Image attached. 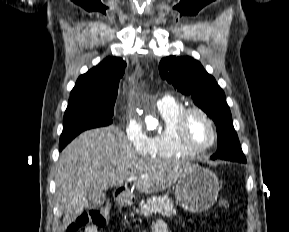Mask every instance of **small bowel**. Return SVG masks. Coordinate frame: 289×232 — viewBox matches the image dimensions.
Segmentation results:
<instances>
[{"label":"small bowel","instance_id":"obj_1","mask_svg":"<svg viewBox=\"0 0 289 232\" xmlns=\"http://www.w3.org/2000/svg\"><path fill=\"white\" fill-rule=\"evenodd\" d=\"M152 232H171L168 225L163 221H155L151 225ZM84 232H100L99 228L97 226H87L84 229Z\"/></svg>","mask_w":289,"mask_h":232}]
</instances>
